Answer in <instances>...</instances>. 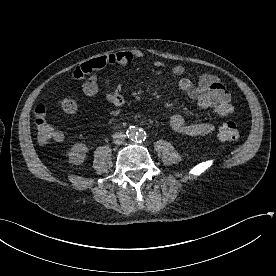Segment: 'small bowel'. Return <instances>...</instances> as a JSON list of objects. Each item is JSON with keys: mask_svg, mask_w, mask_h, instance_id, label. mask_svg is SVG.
Wrapping results in <instances>:
<instances>
[{"mask_svg": "<svg viewBox=\"0 0 276 276\" xmlns=\"http://www.w3.org/2000/svg\"><path fill=\"white\" fill-rule=\"evenodd\" d=\"M144 53L140 50H128L109 53L76 67L73 77L76 81L84 80L82 91L88 98H94L99 92L97 72L106 67H111L109 74L103 81V91L106 100L115 107H120L124 98L119 87L112 89L111 84L116 69L124 68L132 64L137 59L144 58ZM155 67H163V62L154 61ZM175 75H182L185 68L176 65L172 68ZM178 87L193 99L201 109H213L219 116H228L233 112V105L229 91L221 80L212 74H203L197 82L187 77H182L178 81ZM170 126L177 132L188 136H204L212 133L216 126L213 123H186L182 114H173L169 119Z\"/></svg>", "mask_w": 276, "mask_h": 276, "instance_id": "obj_1", "label": "small bowel"}]
</instances>
